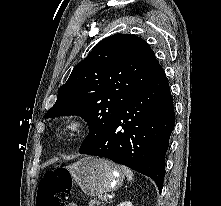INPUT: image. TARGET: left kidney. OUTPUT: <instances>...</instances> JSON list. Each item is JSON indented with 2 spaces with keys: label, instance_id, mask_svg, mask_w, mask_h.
I'll return each mask as SVG.
<instances>
[{
  "label": "left kidney",
  "instance_id": "5707ae66",
  "mask_svg": "<svg viewBox=\"0 0 221 206\" xmlns=\"http://www.w3.org/2000/svg\"><path fill=\"white\" fill-rule=\"evenodd\" d=\"M117 206H133V205H132V203L130 201H125V202L120 203Z\"/></svg>",
  "mask_w": 221,
  "mask_h": 206
}]
</instances>
